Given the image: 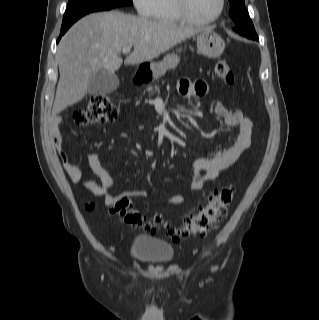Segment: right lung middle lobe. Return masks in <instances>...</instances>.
Here are the masks:
<instances>
[{
    "mask_svg": "<svg viewBox=\"0 0 319 320\" xmlns=\"http://www.w3.org/2000/svg\"><path fill=\"white\" fill-rule=\"evenodd\" d=\"M131 4V0H69L61 28H69L79 18L91 12L110 10Z\"/></svg>",
    "mask_w": 319,
    "mask_h": 320,
    "instance_id": "obj_1",
    "label": "right lung middle lobe"
}]
</instances>
